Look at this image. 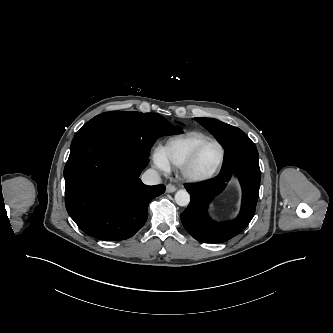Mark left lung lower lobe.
<instances>
[{
	"label": "left lung lower lobe",
	"mask_w": 333,
	"mask_h": 333,
	"mask_svg": "<svg viewBox=\"0 0 333 333\" xmlns=\"http://www.w3.org/2000/svg\"><path fill=\"white\" fill-rule=\"evenodd\" d=\"M224 150L225 162L215 178L186 187L191 200L180 219L187 232L200 242L230 240L248 226L255 214L261 178L257 149L250 138L242 134L228 142ZM233 176L238 178L242 187L241 211L233 221L215 222L208 216V204L226 189Z\"/></svg>",
	"instance_id": "left-lung-lower-lobe-1"
}]
</instances>
